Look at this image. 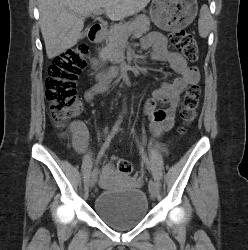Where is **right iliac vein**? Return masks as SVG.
<instances>
[{
    "instance_id": "right-iliac-vein-1",
    "label": "right iliac vein",
    "mask_w": 248,
    "mask_h": 250,
    "mask_svg": "<svg viewBox=\"0 0 248 250\" xmlns=\"http://www.w3.org/2000/svg\"><path fill=\"white\" fill-rule=\"evenodd\" d=\"M98 172L97 170L93 171L91 178H90V187L93 188L97 182Z\"/></svg>"
}]
</instances>
